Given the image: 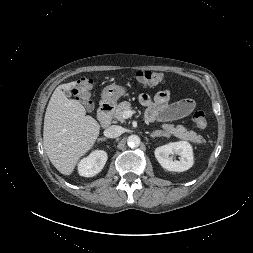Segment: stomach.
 <instances>
[{
    "label": "stomach",
    "mask_w": 253,
    "mask_h": 253,
    "mask_svg": "<svg viewBox=\"0 0 253 253\" xmlns=\"http://www.w3.org/2000/svg\"><path fill=\"white\" fill-rule=\"evenodd\" d=\"M124 94V87L114 84L108 85L102 91V101L104 103L115 104Z\"/></svg>",
    "instance_id": "0dacf381"
}]
</instances>
